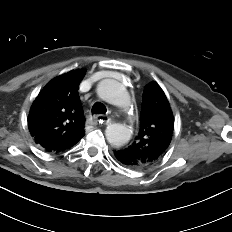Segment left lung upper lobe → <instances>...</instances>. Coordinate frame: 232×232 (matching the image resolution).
<instances>
[{
    "instance_id": "1",
    "label": "left lung upper lobe",
    "mask_w": 232,
    "mask_h": 232,
    "mask_svg": "<svg viewBox=\"0 0 232 232\" xmlns=\"http://www.w3.org/2000/svg\"><path fill=\"white\" fill-rule=\"evenodd\" d=\"M174 130V117L161 87L151 82L143 91L140 128L134 142L123 148L136 161V169L148 167L166 153Z\"/></svg>"
}]
</instances>
